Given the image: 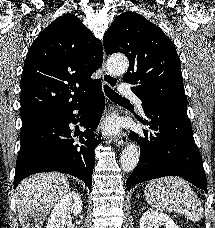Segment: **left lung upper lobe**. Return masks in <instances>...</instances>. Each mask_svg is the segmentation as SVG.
I'll list each match as a JSON object with an SVG mask.
<instances>
[{
	"label": "left lung upper lobe",
	"mask_w": 215,
	"mask_h": 228,
	"mask_svg": "<svg viewBox=\"0 0 215 228\" xmlns=\"http://www.w3.org/2000/svg\"><path fill=\"white\" fill-rule=\"evenodd\" d=\"M108 54L121 52L129 59L124 82L132 88L143 106L184 105L181 66L173 42L155 24L140 14H120L103 37Z\"/></svg>",
	"instance_id": "1"
}]
</instances>
